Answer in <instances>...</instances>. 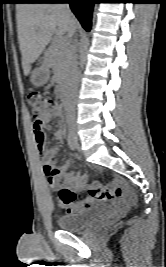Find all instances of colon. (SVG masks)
<instances>
[{
	"instance_id": "obj_1",
	"label": "colon",
	"mask_w": 166,
	"mask_h": 267,
	"mask_svg": "<svg viewBox=\"0 0 166 267\" xmlns=\"http://www.w3.org/2000/svg\"><path fill=\"white\" fill-rule=\"evenodd\" d=\"M28 101L32 108L33 121L36 123L38 132L37 137L40 145H43L45 141V134L42 128V117L55 110L57 103L47 95H43L40 92L33 91L28 95ZM44 171L47 176L54 177L57 174L56 168L51 162L46 161L44 163ZM58 198L65 204H72L75 200V193L69 189H61L58 193Z\"/></svg>"
}]
</instances>
